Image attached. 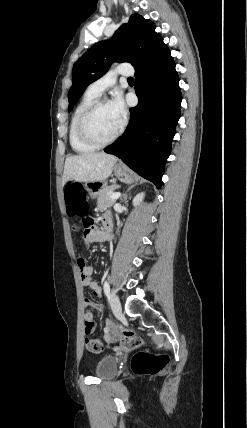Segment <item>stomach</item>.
I'll list each match as a JSON object with an SVG mask.
<instances>
[{"mask_svg":"<svg viewBox=\"0 0 247 428\" xmlns=\"http://www.w3.org/2000/svg\"><path fill=\"white\" fill-rule=\"evenodd\" d=\"M114 174L120 181L124 183H131L133 181L131 173L122 164L115 165ZM104 186H106L104 181L86 182L85 184L86 190L92 198H95Z\"/></svg>","mask_w":247,"mask_h":428,"instance_id":"1","label":"stomach"}]
</instances>
